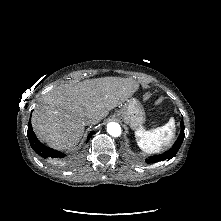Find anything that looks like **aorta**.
I'll return each instance as SVG.
<instances>
[{"mask_svg": "<svg viewBox=\"0 0 221 221\" xmlns=\"http://www.w3.org/2000/svg\"><path fill=\"white\" fill-rule=\"evenodd\" d=\"M107 132L113 137H119L122 131L118 123L110 122L107 124Z\"/></svg>", "mask_w": 221, "mask_h": 221, "instance_id": "1", "label": "aorta"}]
</instances>
